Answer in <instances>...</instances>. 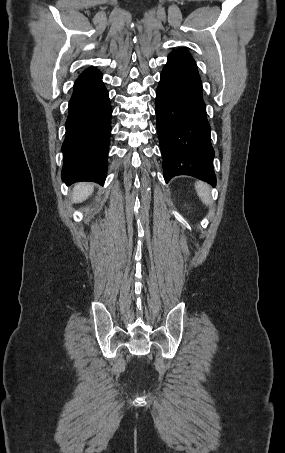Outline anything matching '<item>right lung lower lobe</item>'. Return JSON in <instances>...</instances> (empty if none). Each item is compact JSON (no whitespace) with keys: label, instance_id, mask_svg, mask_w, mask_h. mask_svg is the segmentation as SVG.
Returning a JSON list of instances; mask_svg holds the SVG:
<instances>
[{"label":"right lung lower lobe","instance_id":"right-lung-lower-lobe-1","mask_svg":"<svg viewBox=\"0 0 285 453\" xmlns=\"http://www.w3.org/2000/svg\"><path fill=\"white\" fill-rule=\"evenodd\" d=\"M62 144V179L67 184H104L112 109L101 72L90 67L75 81Z\"/></svg>","mask_w":285,"mask_h":453}]
</instances>
